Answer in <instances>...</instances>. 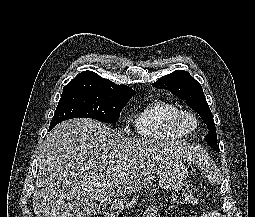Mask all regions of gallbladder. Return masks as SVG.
<instances>
[{"label": "gallbladder", "mask_w": 255, "mask_h": 217, "mask_svg": "<svg viewBox=\"0 0 255 217\" xmlns=\"http://www.w3.org/2000/svg\"><path fill=\"white\" fill-rule=\"evenodd\" d=\"M96 211V204L92 200L81 199L77 202L71 217H91Z\"/></svg>", "instance_id": "gallbladder-1"}]
</instances>
